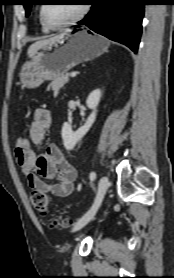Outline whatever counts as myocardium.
I'll return each instance as SVG.
<instances>
[{
  "mask_svg": "<svg viewBox=\"0 0 174 278\" xmlns=\"http://www.w3.org/2000/svg\"><path fill=\"white\" fill-rule=\"evenodd\" d=\"M46 7H47V5H43L41 7L40 16H41V19L44 22V24L49 29H52V30H59V29L65 28L67 26L75 24L76 22L80 21L88 13V10H89V5L83 4L80 12L74 18H72L69 21H66L64 23H61V24H54V23L50 22L46 16Z\"/></svg>",
  "mask_w": 174,
  "mask_h": 278,
  "instance_id": "obj_1",
  "label": "myocardium"
}]
</instances>
